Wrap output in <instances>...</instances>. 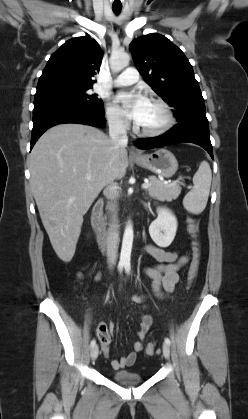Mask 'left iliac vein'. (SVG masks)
Masks as SVG:
<instances>
[{
    "label": "left iliac vein",
    "instance_id": "obj_1",
    "mask_svg": "<svg viewBox=\"0 0 248 419\" xmlns=\"http://www.w3.org/2000/svg\"><path fill=\"white\" fill-rule=\"evenodd\" d=\"M162 351H163V355L166 359H169L170 357V348L169 345L166 343H163L162 345Z\"/></svg>",
    "mask_w": 248,
    "mask_h": 419
}]
</instances>
